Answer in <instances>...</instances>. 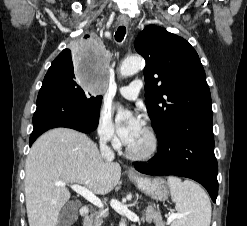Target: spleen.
<instances>
[{
  "label": "spleen",
  "instance_id": "3e777b00",
  "mask_svg": "<svg viewBox=\"0 0 247 226\" xmlns=\"http://www.w3.org/2000/svg\"><path fill=\"white\" fill-rule=\"evenodd\" d=\"M172 201L180 217L171 226H210L211 203L205 191L196 183L168 177Z\"/></svg>",
  "mask_w": 247,
  "mask_h": 226
}]
</instances>
